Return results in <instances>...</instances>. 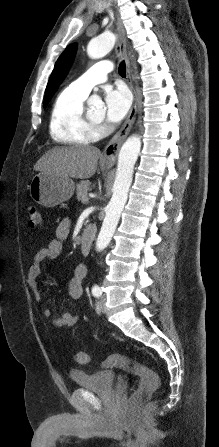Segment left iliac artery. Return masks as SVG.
<instances>
[{
	"instance_id": "44dca946",
	"label": "left iliac artery",
	"mask_w": 219,
	"mask_h": 447,
	"mask_svg": "<svg viewBox=\"0 0 219 447\" xmlns=\"http://www.w3.org/2000/svg\"><path fill=\"white\" fill-rule=\"evenodd\" d=\"M92 293L94 296L99 297V296H101L102 291L100 289L95 288V289H93Z\"/></svg>"
}]
</instances>
